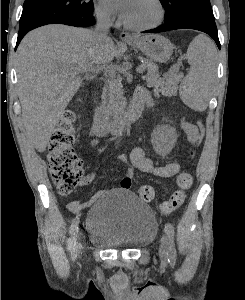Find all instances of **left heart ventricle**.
Instances as JSON below:
<instances>
[{
  "mask_svg": "<svg viewBox=\"0 0 245 300\" xmlns=\"http://www.w3.org/2000/svg\"><path fill=\"white\" fill-rule=\"evenodd\" d=\"M158 18V9L152 0H131L125 20L134 25H148Z\"/></svg>",
  "mask_w": 245,
  "mask_h": 300,
  "instance_id": "1",
  "label": "left heart ventricle"
}]
</instances>
